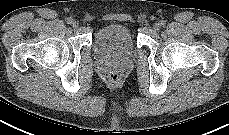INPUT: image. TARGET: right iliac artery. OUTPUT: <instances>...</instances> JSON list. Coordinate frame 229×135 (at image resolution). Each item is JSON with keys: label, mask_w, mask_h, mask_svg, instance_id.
<instances>
[{"label": "right iliac artery", "mask_w": 229, "mask_h": 135, "mask_svg": "<svg viewBox=\"0 0 229 135\" xmlns=\"http://www.w3.org/2000/svg\"><path fill=\"white\" fill-rule=\"evenodd\" d=\"M73 22V19L71 17L67 18V23L71 24Z\"/></svg>", "instance_id": "obj_1"}]
</instances>
